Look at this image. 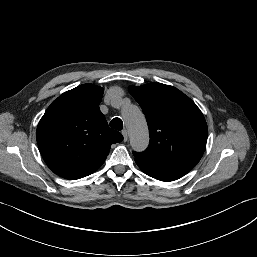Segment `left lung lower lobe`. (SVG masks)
<instances>
[{
	"instance_id": "left-lung-lower-lobe-1",
	"label": "left lung lower lobe",
	"mask_w": 257,
	"mask_h": 257,
	"mask_svg": "<svg viewBox=\"0 0 257 257\" xmlns=\"http://www.w3.org/2000/svg\"><path fill=\"white\" fill-rule=\"evenodd\" d=\"M140 169L147 175L160 180V181H173L181 178L188 173L193 167H160L155 165H149L141 162H137Z\"/></svg>"
}]
</instances>
